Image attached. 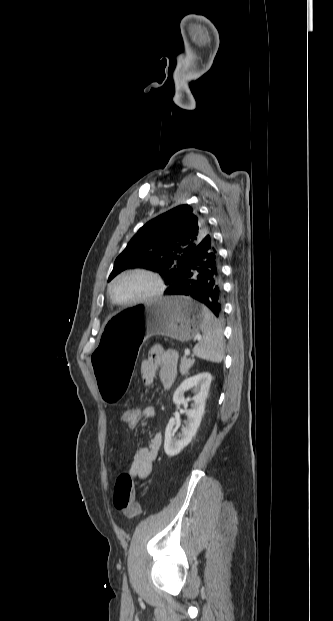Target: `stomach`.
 Segmentation results:
<instances>
[{
    "label": "stomach",
    "instance_id": "obj_1",
    "mask_svg": "<svg viewBox=\"0 0 333 621\" xmlns=\"http://www.w3.org/2000/svg\"><path fill=\"white\" fill-rule=\"evenodd\" d=\"M204 308L187 297L167 296L107 319L93 353L94 380L105 409H115L130 391L143 338L162 335L187 342L200 331Z\"/></svg>",
    "mask_w": 333,
    "mask_h": 621
}]
</instances>
